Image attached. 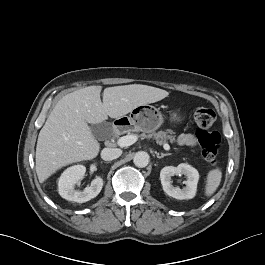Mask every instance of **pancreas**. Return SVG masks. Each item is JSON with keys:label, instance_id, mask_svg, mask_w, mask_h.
<instances>
[{"label": "pancreas", "instance_id": "pancreas-1", "mask_svg": "<svg viewBox=\"0 0 265 265\" xmlns=\"http://www.w3.org/2000/svg\"><path fill=\"white\" fill-rule=\"evenodd\" d=\"M173 134L174 133L171 130H167V131L153 132V133H150L147 135L142 134V137L154 138L159 143H165L167 141H170V143H174L175 142V136Z\"/></svg>", "mask_w": 265, "mask_h": 265}]
</instances>
